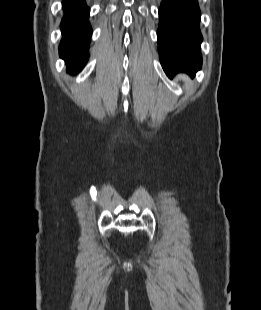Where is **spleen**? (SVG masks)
Wrapping results in <instances>:
<instances>
[{
    "label": "spleen",
    "mask_w": 261,
    "mask_h": 310,
    "mask_svg": "<svg viewBox=\"0 0 261 310\" xmlns=\"http://www.w3.org/2000/svg\"><path fill=\"white\" fill-rule=\"evenodd\" d=\"M179 78L180 79H186V77L184 75H180Z\"/></svg>",
    "instance_id": "obj_1"
}]
</instances>
